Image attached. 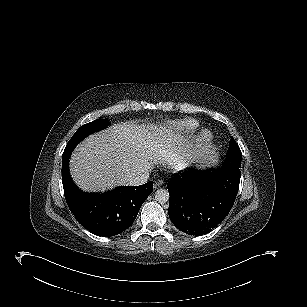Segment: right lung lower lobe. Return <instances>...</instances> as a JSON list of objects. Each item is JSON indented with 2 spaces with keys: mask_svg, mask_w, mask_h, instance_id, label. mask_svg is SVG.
<instances>
[{
  "mask_svg": "<svg viewBox=\"0 0 307 307\" xmlns=\"http://www.w3.org/2000/svg\"><path fill=\"white\" fill-rule=\"evenodd\" d=\"M73 149L62 156V183L67 204L78 220L90 232L110 237L129 228L149 194L153 182L140 186H122L109 192L87 193L79 189L69 174V158Z\"/></svg>",
  "mask_w": 307,
  "mask_h": 307,
  "instance_id": "obj_1",
  "label": "right lung lower lobe"
}]
</instances>
